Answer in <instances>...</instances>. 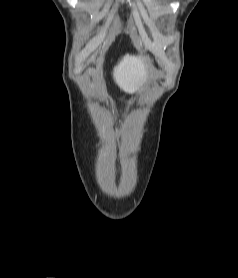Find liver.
<instances>
[{
	"label": "liver",
	"instance_id": "obj_1",
	"mask_svg": "<svg viewBox=\"0 0 238 278\" xmlns=\"http://www.w3.org/2000/svg\"><path fill=\"white\" fill-rule=\"evenodd\" d=\"M148 76V68L140 57L125 55L114 67L113 77L117 85L125 92L132 93Z\"/></svg>",
	"mask_w": 238,
	"mask_h": 278
}]
</instances>
